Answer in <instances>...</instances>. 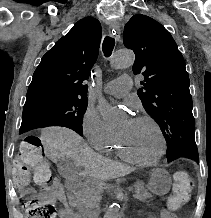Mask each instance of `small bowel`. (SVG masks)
I'll return each instance as SVG.
<instances>
[{
  "instance_id": "c3829d8e",
  "label": "small bowel",
  "mask_w": 211,
  "mask_h": 218,
  "mask_svg": "<svg viewBox=\"0 0 211 218\" xmlns=\"http://www.w3.org/2000/svg\"><path fill=\"white\" fill-rule=\"evenodd\" d=\"M27 194L32 193L30 190L26 192ZM39 199L46 201L51 204L61 203L62 207L58 210V215L60 218H79L77 213H75L67 204V198L62 182L59 179H54L50 186L44 190L40 195ZM149 218H177L176 214L169 210L163 209L159 212L158 216H149Z\"/></svg>"
}]
</instances>
